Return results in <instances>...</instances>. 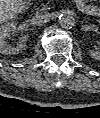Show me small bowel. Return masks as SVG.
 <instances>
[{"label": "small bowel", "mask_w": 100, "mask_h": 118, "mask_svg": "<svg viewBox=\"0 0 100 118\" xmlns=\"http://www.w3.org/2000/svg\"><path fill=\"white\" fill-rule=\"evenodd\" d=\"M77 6L80 7L83 10L90 11V6L86 3V0H77ZM92 11V10H91Z\"/></svg>", "instance_id": "c3829d8e"}]
</instances>
